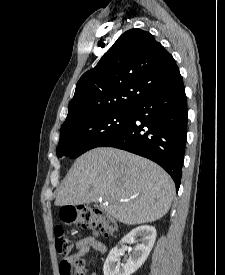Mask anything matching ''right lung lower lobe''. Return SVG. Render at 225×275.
Here are the masks:
<instances>
[{
  "instance_id": "right-lung-lower-lobe-1",
  "label": "right lung lower lobe",
  "mask_w": 225,
  "mask_h": 275,
  "mask_svg": "<svg viewBox=\"0 0 225 275\" xmlns=\"http://www.w3.org/2000/svg\"><path fill=\"white\" fill-rule=\"evenodd\" d=\"M187 113L181 82L138 102L131 109L128 123L99 147H116L156 162L170 174L178 190L186 147Z\"/></svg>"
}]
</instances>
